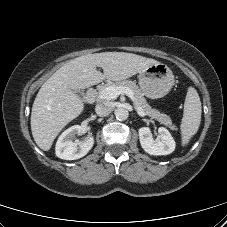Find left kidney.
<instances>
[{
    "mask_svg": "<svg viewBox=\"0 0 227 227\" xmlns=\"http://www.w3.org/2000/svg\"><path fill=\"white\" fill-rule=\"evenodd\" d=\"M158 138L154 140L149 127L139 129L140 144L145 152L150 155H168L175 150V141L170 132L160 127L158 129Z\"/></svg>",
    "mask_w": 227,
    "mask_h": 227,
    "instance_id": "left-kidney-1",
    "label": "left kidney"
}]
</instances>
